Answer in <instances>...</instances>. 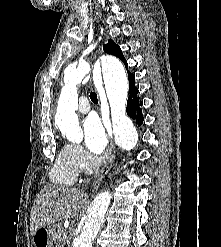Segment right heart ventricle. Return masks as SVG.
<instances>
[{
	"instance_id": "e07e8e85",
	"label": "right heart ventricle",
	"mask_w": 221,
	"mask_h": 247,
	"mask_svg": "<svg viewBox=\"0 0 221 247\" xmlns=\"http://www.w3.org/2000/svg\"><path fill=\"white\" fill-rule=\"evenodd\" d=\"M78 172L72 163L69 145L61 148L50 171L52 182L71 185L77 180Z\"/></svg>"
}]
</instances>
